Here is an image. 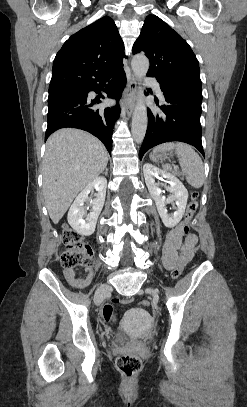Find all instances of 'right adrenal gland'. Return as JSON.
Wrapping results in <instances>:
<instances>
[{
  "label": "right adrenal gland",
  "mask_w": 247,
  "mask_h": 407,
  "mask_svg": "<svg viewBox=\"0 0 247 407\" xmlns=\"http://www.w3.org/2000/svg\"><path fill=\"white\" fill-rule=\"evenodd\" d=\"M103 173L105 174V176H107L108 175V169L105 168V172H103Z\"/></svg>",
  "instance_id": "1"
}]
</instances>
